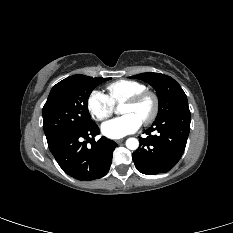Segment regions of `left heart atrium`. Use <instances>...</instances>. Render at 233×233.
I'll list each match as a JSON object with an SVG mask.
<instances>
[{"label":"left heart atrium","mask_w":233,"mask_h":233,"mask_svg":"<svg viewBox=\"0 0 233 233\" xmlns=\"http://www.w3.org/2000/svg\"><path fill=\"white\" fill-rule=\"evenodd\" d=\"M142 122L132 114H126L104 122L101 131L110 139H120L136 132Z\"/></svg>","instance_id":"39dd6f15"}]
</instances>
